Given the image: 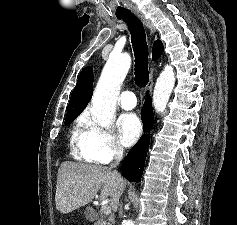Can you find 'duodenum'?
<instances>
[{
    "mask_svg": "<svg viewBox=\"0 0 237 225\" xmlns=\"http://www.w3.org/2000/svg\"><path fill=\"white\" fill-rule=\"evenodd\" d=\"M94 225H108L107 222L103 220H95Z\"/></svg>",
    "mask_w": 237,
    "mask_h": 225,
    "instance_id": "obj_1",
    "label": "duodenum"
}]
</instances>
